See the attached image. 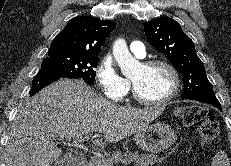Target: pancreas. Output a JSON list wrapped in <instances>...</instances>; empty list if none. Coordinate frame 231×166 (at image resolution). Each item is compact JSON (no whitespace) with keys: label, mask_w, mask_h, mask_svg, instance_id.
<instances>
[{"label":"pancreas","mask_w":231,"mask_h":166,"mask_svg":"<svg viewBox=\"0 0 231 166\" xmlns=\"http://www.w3.org/2000/svg\"><path fill=\"white\" fill-rule=\"evenodd\" d=\"M163 159L153 154H140L138 152H113L111 157L105 159L92 158L86 166H113V164L135 163L136 166H154L162 163Z\"/></svg>","instance_id":"1"}]
</instances>
